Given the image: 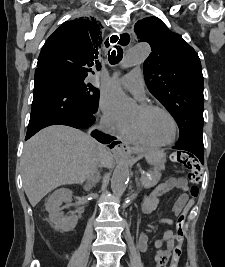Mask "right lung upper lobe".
<instances>
[{
	"mask_svg": "<svg viewBox=\"0 0 225 267\" xmlns=\"http://www.w3.org/2000/svg\"><path fill=\"white\" fill-rule=\"evenodd\" d=\"M101 24L91 19L66 21L47 39L37 66L87 77L100 69Z\"/></svg>",
	"mask_w": 225,
	"mask_h": 267,
	"instance_id": "right-lung-upper-lobe-1",
	"label": "right lung upper lobe"
}]
</instances>
